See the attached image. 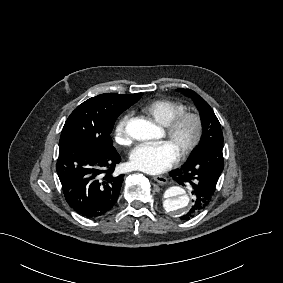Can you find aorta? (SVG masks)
I'll return each mask as SVG.
<instances>
[{"label":"aorta","instance_id":"1","mask_svg":"<svg viewBox=\"0 0 283 283\" xmlns=\"http://www.w3.org/2000/svg\"><path fill=\"white\" fill-rule=\"evenodd\" d=\"M125 129L130 137L139 141L151 140L160 135L159 127L148 120L140 118L130 120ZM163 197L165 211L175 217L182 216L191 208L188 191L181 186L169 187Z\"/></svg>","mask_w":283,"mask_h":283}]
</instances>
